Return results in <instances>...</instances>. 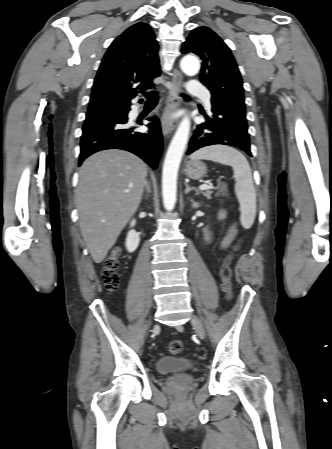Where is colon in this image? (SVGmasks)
I'll return each instance as SVG.
<instances>
[{"mask_svg": "<svg viewBox=\"0 0 332 449\" xmlns=\"http://www.w3.org/2000/svg\"><path fill=\"white\" fill-rule=\"evenodd\" d=\"M227 185L221 183L218 190L217 196L223 198L227 195ZM238 248V245L234 247ZM121 247H116L112 250L110 255L106 258L104 262V269L101 274V280L104 288L107 291L114 292L117 290L120 284L119 269L121 267ZM233 260V255L229 254L223 261L220 268V277L222 281V289L226 293L227 297L230 299L232 297V270L231 262ZM184 351L183 343L179 340H174L169 344V352L173 355H179Z\"/></svg>", "mask_w": 332, "mask_h": 449, "instance_id": "1", "label": "colon"}]
</instances>
